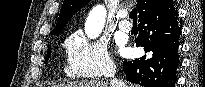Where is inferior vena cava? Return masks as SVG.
<instances>
[{"label":"inferior vena cava","mask_w":205,"mask_h":87,"mask_svg":"<svg viewBox=\"0 0 205 87\" xmlns=\"http://www.w3.org/2000/svg\"><path fill=\"white\" fill-rule=\"evenodd\" d=\"M116 74V67L111 66L107 71H106V76L110 77V84L111 87H126L124 83H122L120 80H118L115 77Z\"/></svg>","instance_id":"602c4592"}]
</instances>
